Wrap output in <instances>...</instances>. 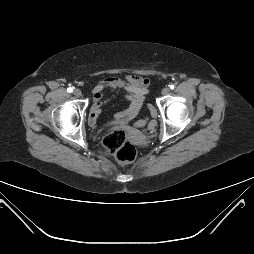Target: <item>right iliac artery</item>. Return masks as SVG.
Here are the masks:
<instances>
[{
	"instance_id": "right-iliac-artery-1",
	"label": "right iliac artery",
	"mask_w": 254,
	"mask_h": 254,
	"mask_svg": "<svg viewBox=\"0 0 254 254\" xmlns=\"http://www.w3.org/2000/svg\"><path fill=\"white\" fill-rule=\"evenodd\" d=\"M67 91H68L69 93H71V92H73V88L69 87V88L67 89Z\"/></svg>"
}]
</instances>
